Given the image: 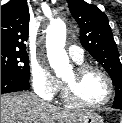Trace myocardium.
Instances as JSON below:
<instances>
[{"label": "myocardium", "instance_id": "f54148a6", "mask_svg": "<svg viewBox=\"0 0 122 123\" xmlns=\"http://www.w3.org/2000/svg\"><path fill=\"white\" fill-rule=\"evenodd\" d=\"M89 71H96L100 73L105 78L109 86V94L107 98L99 103H90V102H86L82 100L78 96L76 91V86L78 82ZM74 76L75 78L73 82H67L63 80V97L68 103L72 105H76V106L86 107V108H100L108 104L113 98V95H114L113 80L109 76V74L102 68L96 65L88 64V63L79 64L74 69Z\"/></svg>", "mask_w": 122, "mask_h": 123}]
</instances>
